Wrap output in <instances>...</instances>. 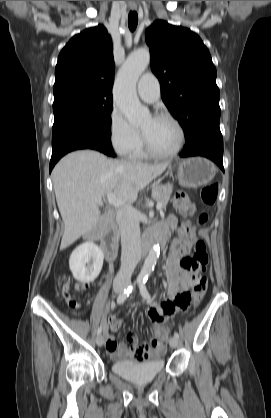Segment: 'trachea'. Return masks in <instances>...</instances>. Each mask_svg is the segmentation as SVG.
<instances>
[{
	"label": "trachea",
	"instance_id": "1",
	"mask_svg": "<svg viewBox=\"0 0 271 418\" xmlns=\"http://www.w3.org/2000/svg\"><path fill=\"white\" fill-rule=\"evenodd\" d=\"M138 24V15L135 11H131L128 16V26L129 29L133 32Z\"/></svg>",
	"mask_w": 271,
	"mask_h": 418
}]
</instances>
